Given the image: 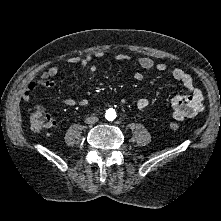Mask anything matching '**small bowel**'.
<instances>
[{
    "label": "small bowel",
    "mask_w": 221,
    "mask_h": 221,
    "mask_svg": "<svg viewBox=\"0 0 221 221\" xmlns=\"http://www.w3.org/2000/svg\"><path fill=\"white\" fill-rule=\"evenodd\" d=\"M96 59H102L104 54L97 52L93 55ZM92 56L87 55L84 57L72 56L67 60L70 65H81L82 68L88 72L93 73L96 71V66L92 64ZM117 60H129L130 58L125 55H117ZM139 66L144 70L156 69L160 72L170 71L171 76L177 82L182 84L187 91L188 95L177 96L172 101L173 116L177 120H182L186 117H192L204 110V95L202 91L196 86L192 76L181 68L168 69L164 63H156L152 58L143 56L138 59ZM64 67L61 65H54L49 67L38 79L29 83L22 93V100L29 102L33 94L41 88L55 89L57 87L56 81L52 80ZM136 80L140 81L144 78L142 72L137 71L134 74ZM62 102L68 106L85 105L86 100H75L72 98L64 97ZM149 106V101L141 98L137 101V108L140 111H145Z\"/></svg>",
    "instance_id": "c3829d8e"
}]
</instances>
